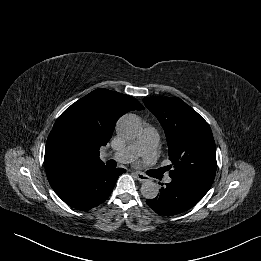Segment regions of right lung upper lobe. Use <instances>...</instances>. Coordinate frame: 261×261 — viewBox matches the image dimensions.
<instances>
[{"instance_id": "obj_1", "label": "right lung upper lobe", "mask_w": 261, "mask_h": 261, "mask_svg": "<svg viewBox=\"0 0 261 261\" xmlns=\"http://www.w3.org/2000/svg\"><path fill=\"white\" fill-rule=\"evenodd\" d=\"M143 109L135 98L103 88L68 107L46 142L44 164L50 185L104 164L99 149L110 140L117 120Z\"/></svg>"}]
</instances>
